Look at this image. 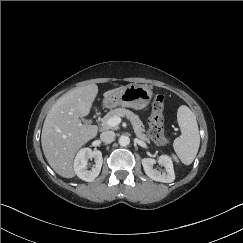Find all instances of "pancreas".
Returning a JSON list of instances; mask_svg holds the SVG:
<instances>
[{
    "label": "pancreas",
    "instance_id": "pancreas-1",
    "mask_svg": "<svg viewBox=\"0 0 243 243\" xmlns=\"http://www.w3.org/2000/svg\"><path fill=\"white\" fill-rule=\"evenodd\" d=\"M114 116L127 117L132 123L136 136L143 141H146L148 143L150 142L149 138L144 133L145 132L144 125H143L142 121L140 120V118L138 117V115L134 114L132 111L125 109V108H116V109L110 110L103 117L102 125L105 129L114 128V127L107 125V120Z\"/></svg>",
    "mask_w": 243,
    "mask_h": 243
}]
</instances>
